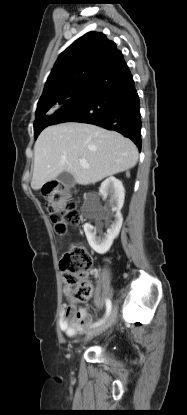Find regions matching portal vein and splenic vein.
Returning a JSON list of instances; mask_svg holds the SVG:
<instances>
[{
  "label": "portal vein and splenic vein",
  "instance_id": "18ae733b",
  "mask_svg": "<svg viewBox=\"0 0 187 415\" xmlns=\"http://www.w3.org/2000/svg\"><path fill=\"white\" fill-rule=\"evenodd\" d=\"M80 165L82 166V167H84V168H89V164L87 163V161L86 160H84V159H81L80 160Z\"/></svg>",
  "mask_w": 187,
  "mask_h": 415
}]
</instances>
